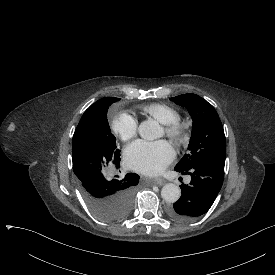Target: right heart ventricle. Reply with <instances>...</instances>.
<instances>
[{"label":"right heart ventricle","instance_id":"e07e8e85","mask_svg":"<svg viewBox=\"0 0 275 275\" xmlns=\"http://www.w3.org/2000/svg\"><path fill=\"white\" fill-rule=\"evenodd\" d=\"M142 110L163 125H168L179 119V114L175 109L162 103L144 106Z\"/></svg>","mask_w":275,"mask_h":275}]
</instances>
